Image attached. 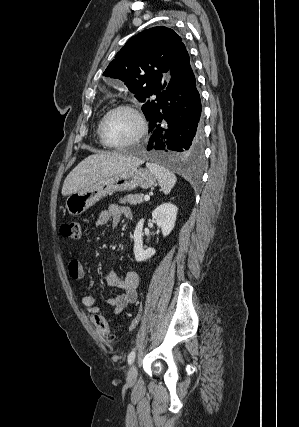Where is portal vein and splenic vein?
Wrapping results in <instances>:
<instances>
[{
  "instance_id": "portal-vein-and-splenic-vein-1",
  "label": "portal vein and splenic vein",
  "mask_w": 299,
  "mask_h": 427,
  "mask_svg": "<svg viewBox=\"0 0 299 427\" xmlns=\"http://www.w3.org/2000/svg\"><path fill=\"white\" fill-rule=\"evenodd\" d=\"M144 200H145V201H149V200H150V196H149V195H145V196H144Z\"/></svg>"
}]
</instances>
